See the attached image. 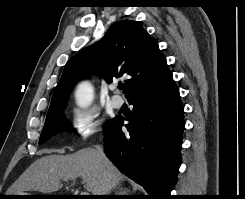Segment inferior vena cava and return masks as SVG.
Returning <instances> with one entry per match:
<instances>
[{
  "instance_id": "obj_1",
  "label": "inferior vena cava",
  "mask_w": 245,
  "mask_h": 199,
  "mask_svg": "<svg viewBox=\"0 0 245 199\" xmlns=\"http://www.w3.org/2000/svg\"><path fill=\"white\" fill-rule=\"evenodd\" d=\"M96 151H97L99 157L102 159V161L105 162L107 160V158L104 154L103 147L100 145H97ZM110 189H111V186H110L109 177H108V175H105L104 184H103L101 193H99V195H109Z\"/></svg>"
}]
</instances>
